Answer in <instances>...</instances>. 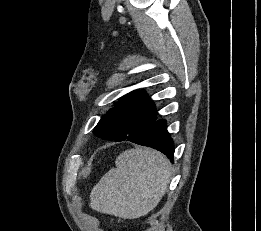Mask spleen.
<instances>
[{
    "mask_svg": "<svg viewBox=\"0 0 261 231\" xmlns=\"http://www.w3.org/2000/svg\"><path fill=\"white\" fill-rule=\"evenodd\" d=\"M90 194L92 209L123 219L148 214L165 194L172 167L161 153L149 148L122 152Z\"/></svg>",
    "mask_w": 261,
    "mask_h": 231,
    "instance_id": "spleen-1",
    "label": "spleen"
}]
</instances>
